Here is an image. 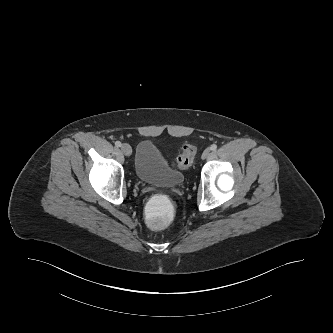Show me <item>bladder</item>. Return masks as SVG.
<instances>
[{
  "label": "bladder",
  "mask_w": 333,
  "mask_h": 333,
  "mask_svg": "<svg viewBox=\"0 0 333 333\" xmlns=\"http://www.w3.org/2000/svg\"><path fill=\"white\" fill-rule=\"evenodd\" d=\"M134 170L139 180L151 185L174 188L184 182L183 173L168 164L164 155L151 140L139 143Z\"/></svg>",
  "instance_id": "31cf9c89"
}]
</instances>
